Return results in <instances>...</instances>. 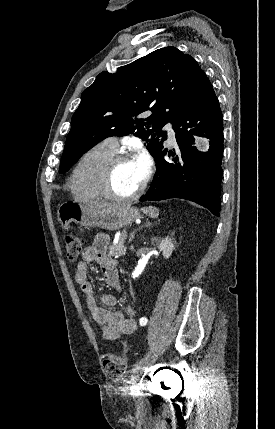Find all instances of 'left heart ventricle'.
Here are the masks:
<instances>
[{
    "label": "left heart ventricle",
    "mask_w": 275,
    "mask_h": 429,
    "mask_svg": "<svg viewBox=\"0 0 275 429\" xmlns=\"http://www.w3.org/2000/svg\"><path fill=\"white\" fill-rule=\"evenodd\" d=\"M142 182L136 161L131 159L117 165L112 178V188L116 194L127 196L134 193Z\"/></svg>",
    "instance_id": "left-heart-ventricle-1"
}]
</instances>
